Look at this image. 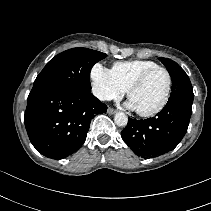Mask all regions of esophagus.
<instances>
[{"label": "esophagus", "instance_id": "esophagus-1", "mask_svg": "<svg viewBox=\"0 0 211 211\" xmlns=\"http://www.w3.org/2000/svg\"><path fill=\"white\" fill-rule=\"evenodd\" d=\"M107 112H108L109 114H114V113H116V110L113 109V108H108Z\"/></svg>", "mask_w": 211, "mask_h": 211}]
</instances>
